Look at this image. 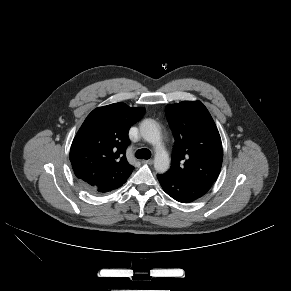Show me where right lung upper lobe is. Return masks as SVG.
Instances as JSON below:
<instances>
[{
    "instance_id": "right-lung-upper-lobe-1",
    "label": "right lung upper lobe",
    "mask_w": 291,
    "mask_h": 291,
    "mask_svg": "<svg viewBox=\"0 0 291 291\" xmlns=\"http://www.w3.org/2000/svg\"><path fill=\"white\" fill-rule=\"evenodd\" d=\"M144 111L114 103L88 115L70 149L74 173L83 184L94 186L102 179H128L134 168L125 157L130 144L128 130Z\"/></svg>"
}]
</instances>
